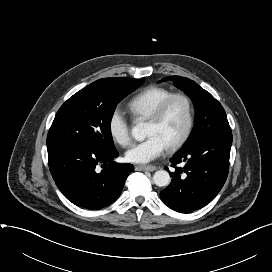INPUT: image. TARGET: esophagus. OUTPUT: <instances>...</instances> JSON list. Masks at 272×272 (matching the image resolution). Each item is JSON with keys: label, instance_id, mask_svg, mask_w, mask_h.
<instances>
[{"label": "esophagus", "instance_id": "esophagus-1", "mask_svg": "<svg viewBox=\"0 0 272 272\" xmlns=\"http://www.w3.org/2000/svg\"><path fill=\"white\" fill-rule=\"evenodd\" d=\"M157 168L155 166H151V165H148V166H145V165H139V166H136V170L138 171H155Z\"/></svg>", "mask_w": 272, "mask_h": 272}]
</instances>
